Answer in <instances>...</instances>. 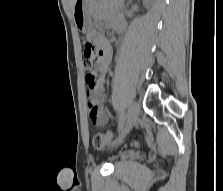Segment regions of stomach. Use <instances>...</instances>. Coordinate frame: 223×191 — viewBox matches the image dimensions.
Returning <instances> with one entry per match:
<instances>
[{
  "label": "stomach",
  "mask_w": 223,
  "mask_h": 191,
  "mask_svg": "<svg viewBox=\"0 0 223 191\" xmlns=\"http://www.w3.org/2000/svg\"><path fill=\"white\" fill-rule=\"evenodd\" d=\"M90 0H76L73 7V17L76 27L82 32H88L92 28V22L88 14Z\"/></svg>",
  "instance_id": "stomach-1"
}]
</instances>
